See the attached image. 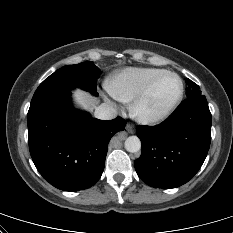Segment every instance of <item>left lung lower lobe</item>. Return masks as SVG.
Wrapping results in <instances>:
<instances>
[{"mask_svg":"<svg viewBox=\"0 0 233 233\" xmlns=\"http://www.w3.org/2000/svg\"><path fill=\"white\" fill-rule=\"evenodd\" d=\"M140 179L155 188H176L201 168L211 142V113L204 95L187 98L163 123L138 126Z\"/></svg>","mask_w":233,"mask_h":233,"instance_id":"0a47b994","label":"left lung lower lobe"}]
</instances>
